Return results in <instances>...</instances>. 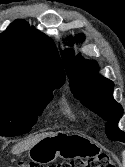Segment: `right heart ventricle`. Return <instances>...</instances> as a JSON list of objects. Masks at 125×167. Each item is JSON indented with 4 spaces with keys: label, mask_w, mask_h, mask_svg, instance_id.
Instances as JSON below:
<instances>
[{
    "label": "right heart ventricle",
    "mask_w": 125,
    "mask_h": 167,
    "mask_svg": "<svg viewBox=\"0 0 125 167\" xmlns=\"http://www.w3.org/2000/svg\"><path fill=\"white\" fill-rule=\"evenodd\" d=\"M63 114L66 115L69 119L74 120L75 119V115L74 113L71 111V109L69 107H65L63 109Z\"/></svg>",
    "instance_id": "right-heart-ventricle-1"
}]
</instances>
